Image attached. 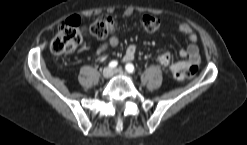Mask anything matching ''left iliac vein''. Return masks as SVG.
Segmentation results:
<instances>
[{
    "label": "left iliac vein",
    "instance_id": "1",
    "mask_svg": "<svg viewBox=\"0 0 247 145\" xmlns=\"http://www.w3.org/2000/svg\"><path fill=\"white\" fill-rule=\"evenodd\" d=\"M114 74H122V69L118 68L114 71Z\"/></svg>",
    "mask_w": 247,
    "mask_h": 145
}]
</instances>
